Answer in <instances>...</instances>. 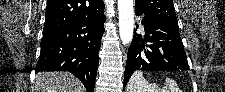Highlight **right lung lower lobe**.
I'll return each instance as SVG.
<instances>
[{
  "label": "right lung lower lobe",
  "mask_w": 225,
  "mask_h": 92,
  "mask_svg": "<svg viewBox=\"0 0 225 92\" xmlns=\"http://www.w3.org/2000/svg\"><path fill=\"white\" fill-rule=\"evenodd\" d=\"M105 21L103 11L96 17L81 19L63 29L43 34L35 73L68 71L81 80L87 92H93Z\"/></svg>",
  "instance_id": "obj_1"
}]
</instances>
